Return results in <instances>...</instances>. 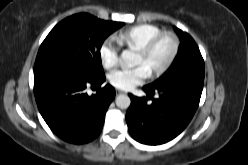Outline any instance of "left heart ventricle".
Returning <instances> with one entry per match:
<instances>
[{
	"label": "left heart ventricle",
	"mask_w": 248,
	"mask_h": 165,
	"mask_svg": "<svg viewBox=\"0 0 248 165\" xmlns=\"http://www.w3.org/2000/svg\"><path fill=\"white\" fill-rule=\"evenodd\" d=\"M169 52L170 42L168 40H164L149 56H145L139 52L136 64H143L150 70V72H152L156 67L161 65L166 60Z\"/></svg>",
	"instance_id": "1"
}]
</instances>
